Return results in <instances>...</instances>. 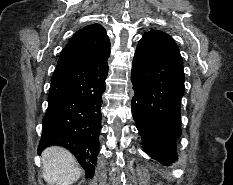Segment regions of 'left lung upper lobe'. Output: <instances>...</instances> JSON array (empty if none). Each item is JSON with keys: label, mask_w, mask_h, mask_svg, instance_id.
<instances>
[{"label": "left lung upper lobe", "mask_w": 233, "mask_h": 185, "mask_svg": "<svg viewBox=\"0 0 233 185\" xmlns=\"http://www.w3.org/2000/svg\"><path fill=\"white\" fill-rule=\"evenodd\" d=\"M143 37L151 39V40L161 44L162 46L179 53L178 46L176 45L173 38H171L168 34L162 32V31L151 30L149 32H146L143 35Z\"/></svg>", "instance_id": "1"}]
</instances>
